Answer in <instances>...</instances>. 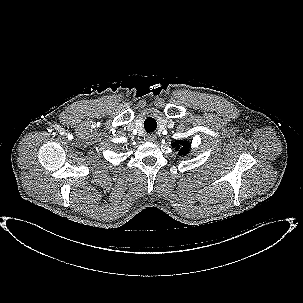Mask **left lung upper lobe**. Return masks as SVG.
Wrapping results in <instances>:
<instances>
[{
	"mask_svg": "<svg viewBox=\"0 0 303 303\" xmlns=\"http://www.w3.org/2000/svg\"><path fill=\"white\" fill-rule=\"evenodd\" d=\"M172 147L175 148V150L179 151V155L186 154L190 149V143L187 141H175L172 143Z\"/></svg>",
	"mask_w": 303,
	"mask_h": 303,
	"instance_id": "left-lung-upper-lobe-1",
	"label": "left lung upper lobe"
}]
</instances>
